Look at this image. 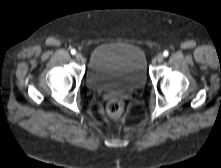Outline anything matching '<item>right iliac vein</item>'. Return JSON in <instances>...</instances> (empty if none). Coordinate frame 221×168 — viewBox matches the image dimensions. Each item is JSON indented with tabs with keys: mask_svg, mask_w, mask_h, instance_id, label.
<instances>
[{
	"mask_svg": "<svg viewBox=\"0 0 221 168\" xmlns=\"http://www.w3.org/2000/svg\"><path fill=\"white\" fill-rule=\"evenodd\" d=\"M75 58H76L77 61H80L82 59L81 53H76Z\"/></svg>",
	"mask_w": 221,
	"mask_h": 168,
	"instance_id": "1",
	"label": "right iliac vein"
}]
</instances>
